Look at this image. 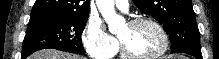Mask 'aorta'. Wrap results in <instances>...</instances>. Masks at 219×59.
I'll return each mask as SVG.
<instances>
[{
    "instance_id": "aorta-1",
    "label": "aorta",
    "mask_w": 219,
    "mask_h": 59,
    "mask_svg": "<svg viewBox=\"0 0 219 59\" xmlns=\"http://www.w3.org/2000/svg\"><path fill=\"white\" fill-rule=\"evenodd\" d=\"M96 3L100 13L108 24L109 31L112 33L116 32L120 18L115 12L114 0H96Z\"/></svg>"
}]
</instances>
